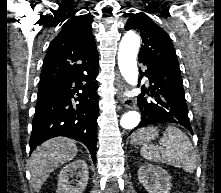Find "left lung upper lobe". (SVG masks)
<instances>
[{
  "mask_svg": "<svg viewBox=\"0 0 221 193\" xmlns=\"http://www.w3.org/2000/svg\"><path fill=\"white\" fill-rule=\"evenodd\" d=\"M125 29H135L140 32L143 45L138 58L180 71L175 49L169 35L156 25L149 16L143 13L132 14Z\"/></svg>",
  "mask_w": 221,
  "mask_h": 193,
  "instance_id": "1",
  "label": "left lung upper lobe"
}]
</instances>
